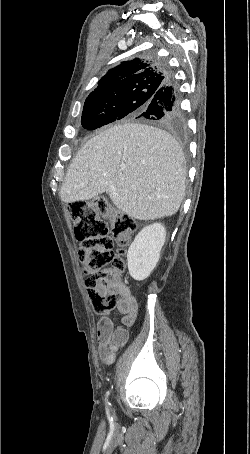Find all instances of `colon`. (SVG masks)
<instances>
[{"instance_id":"colon-1","label":"colon","mask_w":250,"mask_h":454,"mask_svg":"<svg viewBox=\"0 0 250 454\" xmlns=\"http://www.w3.org/2000/svg\"><path fill=\"white\" fill-rule=\"evenodd\" d=\"M67 209L79 242L78 254L91 305L97 313L110 311L119 302L124 247L136 229L135 221L101 196L73 201ZM114 242L120 246L117 254Z\"/></svg>"}]
</instances>
